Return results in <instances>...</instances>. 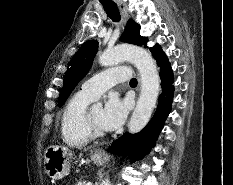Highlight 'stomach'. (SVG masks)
<instances>
[{
  "label": "stomach",
  "mask_w": 233,
  "mask_h": 185,
  "mask_svg": "<svg viewBox=\"0 0 233 185\" xmlns=\"http://www.w3.org/2000/svg\"><path fill=\"white\" fill-rule=\"evenodd\" d=\"M72 159L73 154L68 148L49 146L44 153V170L51 179H62L69 174ZM91 160L97 165H102L106 161V157L94 152Z\"/></svg>",
  "instance_id": "obj_1"
}]
</instances>
